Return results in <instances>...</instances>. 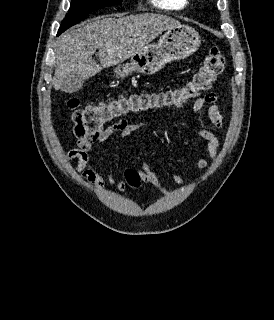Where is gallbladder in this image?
<instances>
[{
  "mask_svg": "<svg viewBox=\"0 0 274 320\" xmlns=\"http://www.w3.org/2000/svg\"><path fill=\"white\" fill-rule=\"evenodd\" d=\"M79 85H81L80 72H69L68 78H64V89L67 90V95H79Z\"/></svg>",
  "mask_w": 274,
  "mask_h": 320,
  "instance_id": "1",
  "label": "gallbladder"
}]
</instances>
